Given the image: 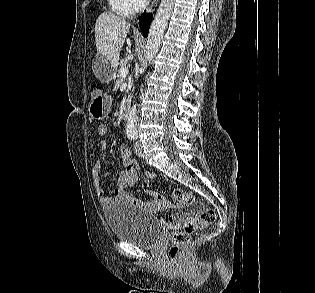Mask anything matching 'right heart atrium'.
<instances>
[{
    "instance_id": "right-heart-atrium-1",
    "label": "right heart atrium",
    "mask_w": 315,
    "mask_h": 293,
    "mask_svg": "<svg viewBox=\"0 0 315 293\" xmlns=\"http://www.w3.org/2000/svg\"><path fill=\"white\" fill-rule=\"evenodd\" d=\"M133 11H137L144 7L146 0H127Z\"/></svg>"
}]
</instances>
